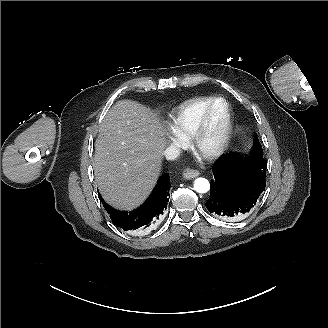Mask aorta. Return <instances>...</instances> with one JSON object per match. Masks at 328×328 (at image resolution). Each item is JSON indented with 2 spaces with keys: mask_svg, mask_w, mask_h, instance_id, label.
Returning a JSON list of instances; mask_svg holds the SVG:
<instances>
[{
  "mask_svg": "<svg viewBox=\"0 0 328 328\" xmlns=\"http://www.w3.org/2000/svg\"><path fill=\"white\" fill-rule=\"evenodd\" d=\"M194 189L198 193H206L210 189V183L207 179L205 178H197L194 181Z\"/></svg>",
  "mask_w": 328,
  "mask_h": 328,
  "instance_id": "obj_1",
  "label": "aorta"
}]
</instances>
